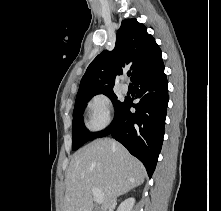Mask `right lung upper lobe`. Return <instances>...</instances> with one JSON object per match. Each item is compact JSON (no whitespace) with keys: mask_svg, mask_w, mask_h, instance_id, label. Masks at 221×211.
<instances>
[{"mask_svg":"<svg viewBox=\"0 0 221 211\" xmlns=\"http://www.w3.org/2000/svg\"><path fill=\"white\" fill-rule=\"evenodd\" d=\"M162 64L161 50L146 27L135 18L125 19L117 31L114 50H104L90 63L76 98L113 91L116 75L126 66H130L134 81Z\"/></svg>","mask_w":221,"mask_h":211,"instance_id":"right-lung-upper-lobe-1","label":"right lung upper lobe"}]
</instances>
